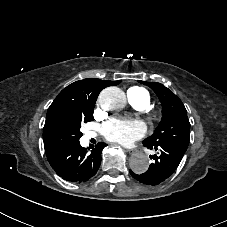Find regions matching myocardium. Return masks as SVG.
Segmentation results:
<instances>
[{
    "instance_id": "f54148a6",
    "label": "myocardium",
    "mask_w": 227,
    "mask_h": 227,
    "mask_svg": "<svg viewBox=\"0 0 227 227\" xmlns=\"http://www.w3.org/2000/svg\"><path fill=\"white\" fill-rule=\"evenodd\" d=\"M164 115V111L160 109L151 112V118L156 121H160L164 117Z\"/></svg>"
}]
</instances>
